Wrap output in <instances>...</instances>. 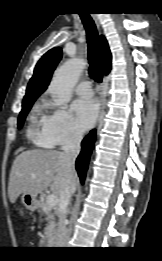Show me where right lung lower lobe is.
Wrapping results in <instances>:
<instances>
[{
	"label": "right lung lower lobe",
	"mask_w": 162,
	"mask_h": 261,
	"mask_svg": "<svg viewBox=\"0 0 162 261\" xmlns=\"http://www.w3.org/2000/svg\"><path fill=\"white\" fill-rule=\"evenodd\" d=\"M95 142V130H92L82 141V150L76 160V170L81 182H84L86 171L88 169L90 155Z\"/></svg>",
	"instance_id": "right-lung-lower-lobe-1"
}]
</instances>
